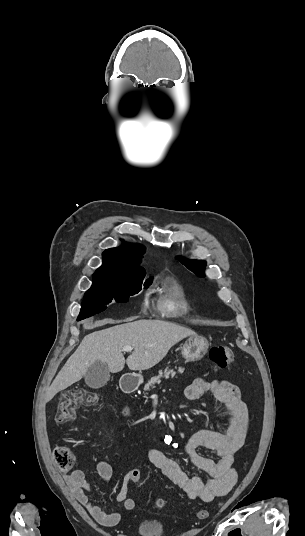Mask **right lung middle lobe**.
Listing matches in <instances>:
<instances>
[{"mask_svg": "<svg viewBox=\"0 0 305 536\" xmlns=\"http://www.w3.org/2000/svg\"><path fill=\"white\" fill-rule=\"evenodd\" d=\"M152 283L149 278L133 280H93L92 287L85 293L78 321L104 311L112 301L127 302L129 297Z\"/></svg>", "mask_w": 305, "mask_h": 536, "instance_id": "obj_1", "label": "right lung middle lobe"}]
</instances>
